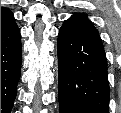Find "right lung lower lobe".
<instances>
[{"instance_id":"obj_1","label":"right lung lower lobe","mask_w":121,"mask_h":113,"mask_svg":"<svg viewBox=\"0 0 121 113\" xmlns=\"http://www.w3.org/2000/svg\"><path fill=\"white\" fill-rule=\"evenodd\" d=\"M20 31L15 23L1 33V113H11L20 78Z\"/></svg>"}]
</instances>
